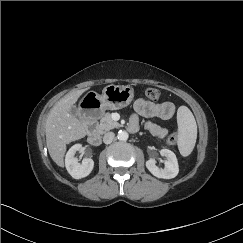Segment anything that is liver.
Masks as SVG:
<instances>
[{"label":"liver","mask_w":243,"mask_h":243,"mask_svg":"<svg viewBox=\"0 0 243 243\" xmlns=\"http://www.w3.org/2000/svg\"><path fill=\"white\" fill-rule=\"evenodd\" d=\"M87 90L85 88L69 92L51 108L48 114L45 125L46 145L50 157L60 167L64 166L66 145L87 134L85 124L70 114V108Z\"/></svg>","instance_id":"6515ba94"}]
</instances>
